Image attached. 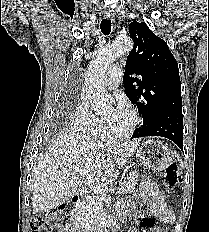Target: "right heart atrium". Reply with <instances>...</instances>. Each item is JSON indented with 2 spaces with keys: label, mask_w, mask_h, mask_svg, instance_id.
I'll return each instance as SVG.
<instances>
[{
  "label": "right heart atrium",
  "mask_w": 209,
  "mask_h": 232,
  "mask_svg": "<svg viewBox=\"0 0 209 232\" xmlns=\"http://www.w3.org/2000/svg\"><path fill=\"white\" fill-rule=\"evenodd\" d=\"M96 118L87 97L82 94L71 117L72 128L79 132H86L95 122Z\"/></svg>",
  "instance_id": "obj_1"
}]
</instances>
